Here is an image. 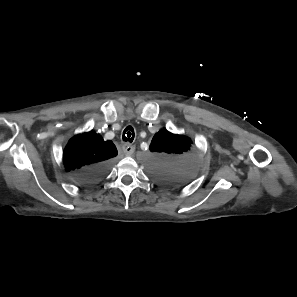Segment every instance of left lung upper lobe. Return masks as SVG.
I'll list each match as a JSON object with an SVG mask.
<instances>
[{"mask_svg": "<svg viewBox=\"0 0 297 297\" xmlns=\"http://www.w3.org/2000/svg\"><path fill=\"white\" fill-rule=\"evenodd\" d=\"M150 151L148 171L162 184H183L196 173V156L188 137L161 130L154 135Z\"/></svg>", "mask_w": 297, "mask_h": 297, "instance_id": "5c2ea615", "label": "left lung upper lobe"}]
</instances>
